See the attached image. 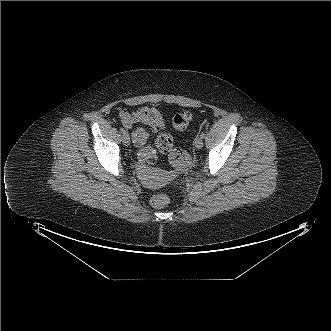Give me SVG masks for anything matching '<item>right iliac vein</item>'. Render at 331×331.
I'll return each mask as SVG.
<instances>
[{"label":"right iliac vein","instance_id":"obj_1","mask_svg":"<svg viewBox=\"0 0 331 331\" xmlns=\"http://www.w3.org/2000/svg\"><path fill=\"white\" fill-rule=\"evenodd\" d=\"M122 141H123V144L125 146H129L130 145V136L128 133H124L123 136H122Z\"/></svg>","mask_w":331,"mask_h":331}]
</instances>
